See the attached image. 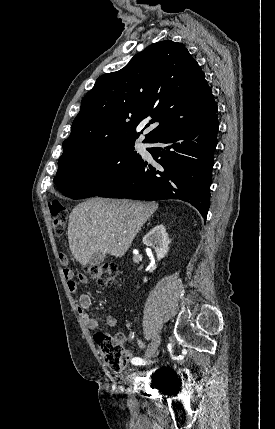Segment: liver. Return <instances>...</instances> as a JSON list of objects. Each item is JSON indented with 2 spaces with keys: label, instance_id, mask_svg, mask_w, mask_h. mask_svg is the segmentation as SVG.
Segmentation results:
<instances>
[{
  "label": "liver",
  "instance_id": "6515ba94",
  "mask_svg": "<svg viewBox=\"0 0 275 429\" xmlns=\"http://www.w3.org/2000/svg\"><path fill=\"white\" fill-rule=\"evenodd\" d=\"M155 202L91 198L73 208L68 241L75 259L87 265L95 252L123 256L147 219Z\"/></svg>",
  "mask_w": 275,
  "mask_h": 429
}]
</instances>
